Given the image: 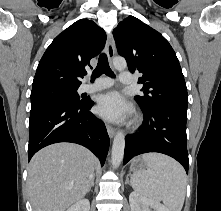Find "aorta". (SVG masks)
Segmentation results:
<instances>
[{
    "label": "aorta",
    "mask_w": 221,
    "mask_h": 211,
    "mask_svg": "<svg viewBox=\"0 0 221 211\" xmlns=\"http://www.w3.org/2000/svg\"><path fill=\"white\" fill-rule=\"evenodd\" d=\"M113 66L117 70H124L127 67L126 60L122 57H116L113 59ZM125 149V136L122 131H118L114 137L111 153V162L114 168H117L124 156Z\"/></svg>",
    "instance_id": "1"
}]
</instances>
